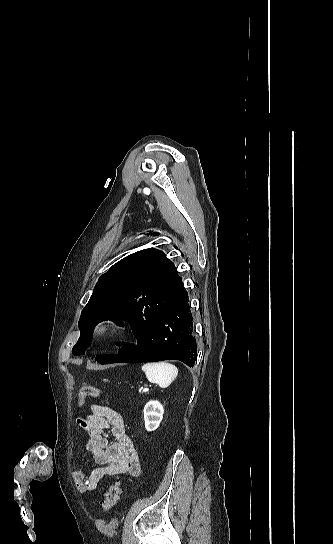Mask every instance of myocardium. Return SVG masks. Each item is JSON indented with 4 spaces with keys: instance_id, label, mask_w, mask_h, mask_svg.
<instances>
[{
    "instance_id": "myocardium-1",
    "label": "myocardium",
    "mask_w": 333,
    "mask_h": 544,
    "mask_svg": "<svg viewBox=\"0 0 333 544\" xmlns=\"http://www.w3.org/2000/svg\"><path fill=\"white\" fill-rule=\"evenodd\" d=\"M113 329V321L109 318H102L94 324L92 334L98 339H104L112 333Z\"/></svg>"
}]
</instances>
